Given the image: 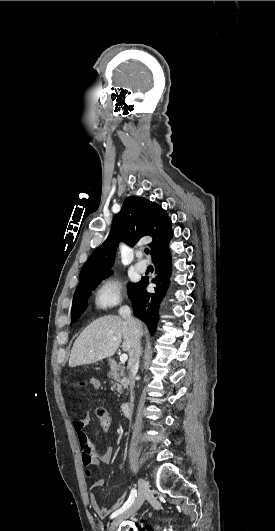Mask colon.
<instances>
[{"instance_id": "obj_1", "label": "colon", "mask_w": 275, "mask_h": 531, "mask_svg": "<svg viewBox=\"0 0 275 531\" xmlns=\"http://www.w3.org/2000/svg\"><path fill=\"white\" fill-rule=\"evenodd\" d=\"M97 419L102 429L107 430L111 426V417L109 413L102 408L97 410Z\"/></svg>"}]
</instances>
